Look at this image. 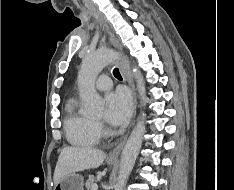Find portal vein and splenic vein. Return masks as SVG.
Instances as JSON below:
<instances>
[{
	"mask_svg": "<svg viewBox=\"0 0 234 190\" xmlns=\"http://www.w3.org/2000/svg\"><path fill=\"white\" fill-rule=\"evenodd\" d=\"M91 190H98V185L97 184H94L93 186H92V189Z\"/></svg>",
	"mask_w": 234,
	"mask_h": 190,
	"instance_id": "1",
	"label": "portal vein and splenic vein"
}]
</instances>
